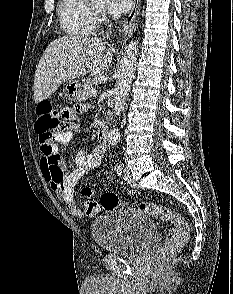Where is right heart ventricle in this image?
<instances>
[{
	"label": "right heart ventricle",
	"instance_id": "e07e8e85",
	"mask_svg": "<svg viewBox=\"0 0 233 294\" xmlns=\"http://www.w3.org/2000/svg\"><path fill=\"white\" fill-rule=\"evenodd\" d=\"M58 18L63 32L75 38L93 34L98 22L97 14L84 0H60Z\"/></svg>",
	"mask_w": 233,
	"mask_h": 294
}]
</instances>
